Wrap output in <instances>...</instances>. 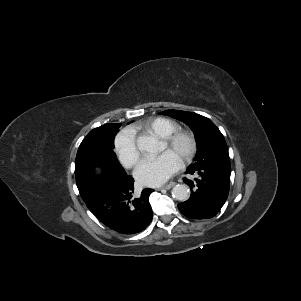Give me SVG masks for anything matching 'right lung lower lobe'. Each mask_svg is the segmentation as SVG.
<instances>
[{
	"instance_id": "1",
	"label": "right lung lower lobe",
	"mask_w": 301,
	"mask_h": 301,
	"mask_svg": "<svg viewBox=\"0 0 301 301\" xmlns=\"http://www.w3.org/2000/svg\"><path fill=\"white\" fill-rule=\"evenodd\" d=\"M134 179L131 176L106 173L92 179L80 195L88 209L111 230L122 234H136L152 220L149 196L154 191L146 188L133 197Z\"/></svg>"
}]
</instances>
